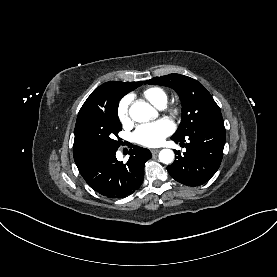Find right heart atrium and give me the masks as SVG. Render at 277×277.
<instances>
[{"instance_id":"1","label":"right heart atrium","mask_w":277,"mask_h":277,"mask_svg":"<svg viewBox=\"0 0 277 277\" xmlns=\"http://www.w3.org/2000/svg\"><path fill=\"white\" fill-rule=\"evenodd\" d=\"M130 97L125 96L122 98V100L119 102L118 108H117V115L119 120L126 124L129 122V107H130Z\"/></svg>"}]
</instances>
